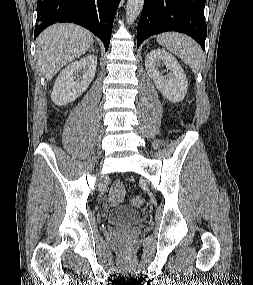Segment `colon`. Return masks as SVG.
I'll return each instance as SVG.
<instances>
[{"label":"colon","mask_w":253,"mask_h":285,"mask_svg":"<svg viewBox=\"0 0 253 285\" xmlns=\"http://www.w3.org/2000/svg\"><path fill=\"white\" fill-rule=\"evenodd\" d=\"M144 203V199L141 196H134L130 199V204L134 207H141Z\"/></svg>","instance_id":"obj_1"}]
</instances>
